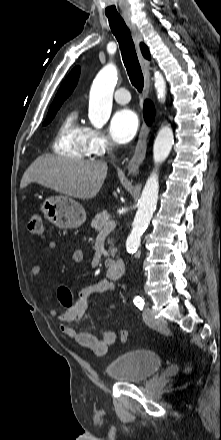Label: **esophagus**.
I'll use <instances>...</instances> for the list:
<instances>
[{
  "label": "esophagus",
  "mask_w": 221,
  "mask_h": 440,
  "mask_svg": "<svg viewBox=\"0 0 221 440\" xmlns=\"http://www.w3.org/2000/svg\"><path fill=\"white\" fill-rule=\"evenodd\" d=\"M125 23L128 26L132 38L135 42V45L137 47L138 57L140 61V65L142 68V72L144 75V90H143V96L145 98L148 97L149 94V88H150V66L149 61L145 59L140 51L139 44L142 42V35L140 31L137 29L136 25L131 21L129 17H124ZM150 128L146 125L144 122L141 126L138 141L135 147V152L133 157L130 159L127 170L130 174L137 175L139 174L140 165L142 164L143 160L146 156V150H147V142H148V135H149Z\"/></svg>",
  "instance_id": "esophagus-1"
}]
</instances>
